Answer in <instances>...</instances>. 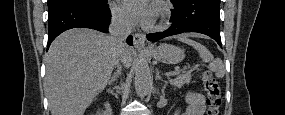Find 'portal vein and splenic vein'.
Here are the masks:
<instances>
[{"instance_id": "18ae733b", "label": "portal vein and splenic vein", "mask_w": 285, "mask_h": 115, "mask_svg": "<svg viewBox=\"0 0 285 115\" xmlns=\"http://www.w3.org/2000/svg\"><path fill=\"white\" fill-rule=\"evenodd\" d=\"M178 73H179V71L175 70V71L166 72L165 75L166 76H174V75H177Z\"/></svg>"}]
</instances>
